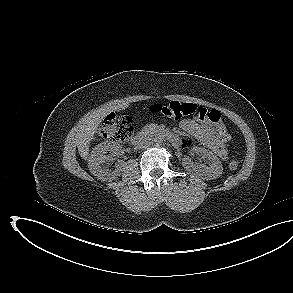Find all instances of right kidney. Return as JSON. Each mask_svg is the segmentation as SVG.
<instances>
[{
	"mask_svg": "<svg viewBox=\"0 0 293 293\" xmlns=\"http://www.w3.org/2000/svg\"><path fill=\"white\" fill-rule=\"evenodd\" d=\"M120 148V144L116 142H103L95 146L88 163L90 172L102 181L114 180L120 176L124 165L122 161H119L113 171L107 169L106 166L107 162L112 160V156L119 153ZM107 152L111 154L106 155Z\"/></svg>",
	"mask_w": 293,
	"mask_h": 293,
	"instance_id": "obj_1",
	"label": "right kidney"
}]
</instances>
